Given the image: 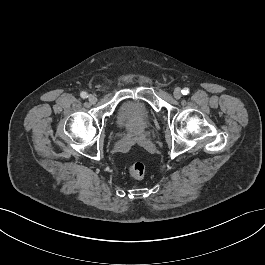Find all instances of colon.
Masks as SVG:
<instances>
[{"instance_id":"obj_1","label":"colon","mask_w":265,"mask_h":265,"mask_svg":"<svg viewBox=\"0 0 265 265\" xmlns=\"http://www.w3.org/2000/svg\"><path fill=\"white\" fill-rule=\"evenodd\" d=\"M128 170H129L130 175L136 179H142L146 174V167L140 161L131 163L129 165Z\"/></svg>"}]
</instances>
